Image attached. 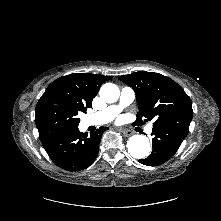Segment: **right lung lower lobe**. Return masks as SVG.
<instances>
[{"instance_id": "right-lung-lower-lobe-1", "label": "right lung lower lobe", "mask_w": 221, "mask_h": 221, "mask_svg": "<svg viewBox=\"0 0 221 221\" xmlns=\"http://www.w3.org/2000/svg\"><path fill=\"white\" fill-rule=\"evenodd\" d=\"M106 129L107 127H101L90 136L75 129L42 141V145L60 168L79 171L89 167L96 159L102 132Z\"/></svg>"}]
</instances>
